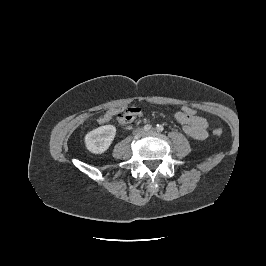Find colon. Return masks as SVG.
I'll list each match as a JSON object with an SVG mask.
<instances>
[{
	"label": "colon",
	"instance_id": "1",
	"mask_svg": "<svg viewBox=\"0 0 266 266\" xmlns=\"http://www.w3.org/2000/svg\"><path fill=\"white\" fill-rule=\"evenodd\" d=\"M182 114L188 116V117H195L198 116V112L197 110L192 107V106H188V105H183L180 110H179ZM117 120L120 123H127L129 122L132 117H133V112L132 110L129 108L123 112H120L117 114ZM214 135L216 136H220L222 134V129L217 128L213 130Z\"/></svg>",
	"mask_w": 266,
	"mask_h": 266
}]
</instances>
